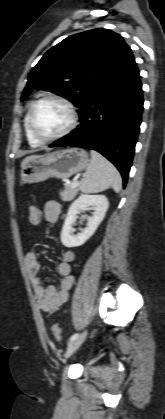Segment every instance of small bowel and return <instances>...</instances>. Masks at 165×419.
<instances>
[{
	"label": "small bowel",
	"mask_w": 165,
	"mask_h": 419,
	"mask_svg": "<svg viewBox=\"0 0 165 419\" xmlns=\"http://www.w3.org/2000/svg\"><path fill=\"white\" fill-rule=\"evenodd\" d=\"M61 213L60 204L56 201H49L44 207V219L47 223H55ZM75 254L70 249L61 252V260L57 265V272L60 276L59 287L44 286L40 273L42 264L36 252L31 251L25 255V264L30 277L34 298L37 306L43 312L51 313L63 305L69 297V291L74 283L72 273V262Z\"/></svg>",
	"instance_id": "1"
}]
</instances>
